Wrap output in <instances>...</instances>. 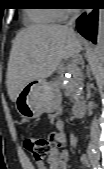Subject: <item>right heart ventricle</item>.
Returning <instances> with one entry per match:
<instances>
[{
  "instance_id": "e07e8e85",
  "label": "right heart ventricle",
  "mask_w": 104,
  "mask_h": 169,
  "mask_svg": "<svg viewBox=\"0 0 104 169\" xmlns=\"http://www.w3.org/2000/svg\"><path fill=\"white\" fill-rule=\"evenodd\" d=\"M27 15L33 22L39 24H50L58 20L57 10L53 8L31 9Z\"/></svg>"
}]
</instances>
